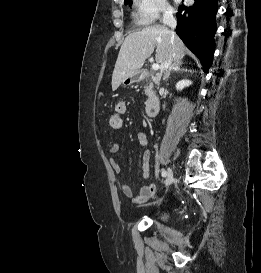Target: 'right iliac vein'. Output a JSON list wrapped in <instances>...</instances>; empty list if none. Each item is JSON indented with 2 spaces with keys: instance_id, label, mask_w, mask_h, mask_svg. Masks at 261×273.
<instances>
[{
  "instance_id": "right-iliac-vein-1",
  "label": "right iliac vein",
  "mask_w": 261,
  "mask_h": 273,
  "mask_svg": "<svg viewBox=\"0 0 261 273\" xmlns=\"http://www.w3.org/2000/svg\"><path fill=\"white\" fill-rule=\"evenodd\" d=\"M166 181H165V187H168L172 181H173V171L169 168L167 170V175H166Z\"/></svg>"
}]
</instances>
